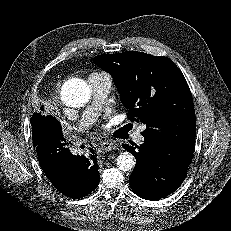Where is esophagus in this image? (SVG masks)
Returning <instances> with one entry per match:
<instances>
[{
	"label": "esophagus",
	"instance_id": "obj_1",
	"mask_svg": "<svg viewBox=\"0 0 231 231\" xmlns=\"http://www.w3.org/2000/svg\"><path fill=\"white\" fill-rule=\"evenodd\" d=\"M101 148L103 149V151L108 152L111 151L113 149L116 148V145L114 144V142L110 141V140H104L101 142Z\"/></svg>",
	"mask_w": 231,
	"mask_h": 231
}]
</instances>
